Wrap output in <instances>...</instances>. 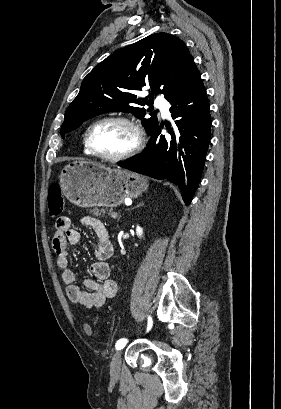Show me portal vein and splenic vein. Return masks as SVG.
Instances as JSON below:
<instances>
[{"mask_svg":"<svg viewBox=\"0 0 281 409\" xmlns=\"http://www.w3.org/2000/svg\"><path fill=\"white\" fill-rule=\"evenodd\" d=\"M109 216H110V217H113V219H116V217L119 216V213L110 212V213H109Z\"/></svg>","mask_w":281,"mask_h":409,"instance_id":"portal-vein-and-splenic-vein-1","label":"portal vein and splenic vein"}]
</instances>
